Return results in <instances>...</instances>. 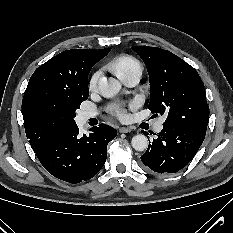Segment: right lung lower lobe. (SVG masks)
Masks as SVG:
<instances>
[{
	"mask_svg": "<svg viewBox=\"0 0 233 233\" xmlns=\"http://www.w3.org/2000/svg\"><path fill=\"white\" fill-rule=\"evenodd\" d=\"M91 133L79 135L77 125L52 137L35 151L42 166L54 177L79 183L94 177L103 167L107 145L117 131L105 124L92 127Z\"/></svg>",
	"mask_w": 233,
	"mask_h": 233,
	"instance_id": "right-lung-lower-lobe-1",
	"label": "right lung lower lobe"
}]
</instances>
